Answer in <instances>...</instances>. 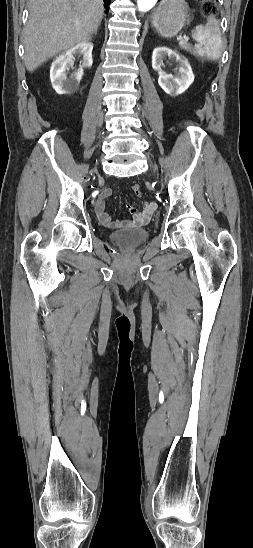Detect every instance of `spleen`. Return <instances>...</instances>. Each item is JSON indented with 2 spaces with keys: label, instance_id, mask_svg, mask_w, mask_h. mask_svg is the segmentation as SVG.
Returning <instances> with one entry per match:
<instances>
[{
  "label": "spleen",
  "instance_id": "1",
  "mask_svg": "<svg viewBox=\"0 0 253 548\" xmlns=\"http://www.w3.org/2000/svg\"><path fill=\"white\" fill-rule=\"evenodd\" d=\"M193 38L203 48H193V52L200 57H206L207 59L218 60L222 55V39L217 19L210 15L205 25H198L192 31ZM179 45L190 50L191 46L183 41L179 42Z\"/></svg>",
  "mask_w": 253,
  "mask_h": 548
}]
</instances>
